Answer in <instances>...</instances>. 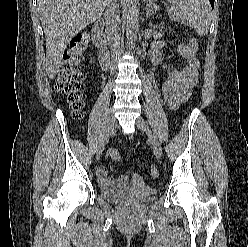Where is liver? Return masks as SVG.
Here are the masks:
<instances>
[{
    "label": "liver",
    "instance_id": "liver-1",
    "mask_svg": "<svg viewBox=\"0 0 248 247\" xmlns=\"http://www.w3.org/2000/svg\"><path fill=\"white\" fill-rule=\"evenodd\" d=\"M108 0H38L46 37V73L54 79L62 55L79 31L101 17Z\"/></svg>",
    "mask_w": 248,
    "mask_h": 247
}]
</instances>
